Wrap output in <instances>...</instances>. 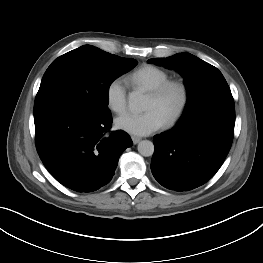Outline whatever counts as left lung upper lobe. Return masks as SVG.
Returning a JSON list of instances; mask_svg holds the SVG:
<instances>
[{
	"mask_svg": "<svg viewBox=\"0 0 263 263\" xmlns=\"http://www.w3.org/2000/svg\"><path fill=\"white\" fill-rule=\"evenodd\" d=\"M149 63L178 71L187 88L188 101L181 119H188L216 106H234L230 88L222 73L189 53L153 58Z\"/></svg>",
	"mask_w": 263,
	"mask_h": 263,
	"instance_id": "5c2ea615",
	"label": "left lung upper lobe"
}]
</instances>
